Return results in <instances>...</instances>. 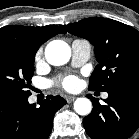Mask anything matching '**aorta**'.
I'll use <instances>...</instances> for the list:
<instances>
[{
    "label": "aorta",
    "instance_id": "obj_1",
    "mask_svg": "<svg viewBox=\"0 0 139 139\" xmlns=\"http://www.w3.org/2000/svg\"><path fill=\"white\" fill-rule=\"evenodd\" d=\"M71 56L69 45L62 40L51 41L45 48L47 62L54 66L66 64ZM74 110L79 115H88L92 110V103L88 98H77L74 102Z\"/></svg>",
    "mask_w": 139,
    "mask_h": 139
}]
</instances>
